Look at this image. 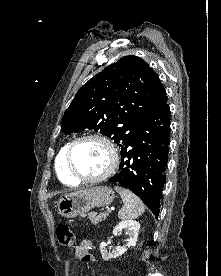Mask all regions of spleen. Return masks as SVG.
Segmentation results:
<instances>
[{"instance_id":"1","label":"spleen","mask_w":221,"mask_h":276,"mask_svg":"<svg viewBox=\"0 0 221 276\" xmlns=\"http://www.w3.org/2000/svg\"><path fill=\"white\" fill-rule=\"evenodd\" d=\"M115 190L121 196L123 207L118 212L119 219H136L141 216L145 210L142 201L128 189L115 187Z\"/></svg>"}]
</instances>
